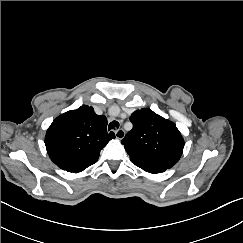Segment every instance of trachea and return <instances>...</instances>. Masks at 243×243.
I'll use <instances>...</instances> for the list:
<instances>
[{"instance_id":"3493384b","label":"trachea","mask_w":243,"mask_h":243,"mask_svg":"<svg viewBox=\"0 0 243 243\" xmlns=\"http://www.w3.org/2000/svg\"><path fill=\"white\" fill-rule=\"evenodd\" d=\"M118 127H119V123L117 121H112L108 126V130L117 129Z\"/></svg>"}]
</instances>
